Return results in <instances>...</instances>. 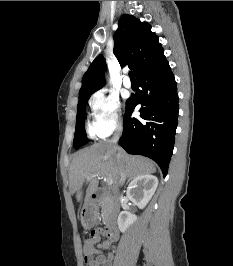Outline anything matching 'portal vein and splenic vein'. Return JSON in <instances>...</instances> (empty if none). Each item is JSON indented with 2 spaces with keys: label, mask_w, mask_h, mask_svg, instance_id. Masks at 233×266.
Segmentation results:
<instances>
[{
  "label": "portal vein and splenic vein",
  "mask_w": 233,
  "mask_h": 266,
  "mask_svg": "<svg viewBox=\"0 0 233 266\" xmlns=\"http://www.w3.org/2000/svg\"><path fill=\"white\" fill-rule=\"evenodd\" d=\"M99 177V176H101L100 174H94V175H90L89 177H88V179H91L92 177ZM102 178H104V180L106 181V183L108 184V185H112L113 184V179L112 178H109V177H105V176H102Z\"/></svg>",
  "instance_id": "1"
}]
</instances>
